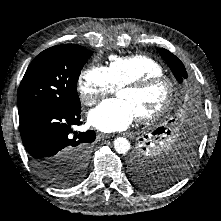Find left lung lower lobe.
<instances>
[{"mask_svg":"<svg viewBox=\"0 0 221 221\" xmlns=\"http://www.w3.org/2000/svg\"><path fill=\"white\" fill-rule=\"evenodd\" d=\"M201 130V122L199 119L191 117L189 120L188 125V133L187 136L184 138L180 146L178 147V150H176V156H178L182 163L185 165L189 163V161L192 159V157L195 154L196 147H197V141L199 140V134ZM156 134H170V131L167 130L164 127H160L155 131ZM184 172V168L181 167L180 170L176 172L175 180H172L169 182L168 185L174 183L177 181Z\"/></svg>","mask_w":221,"mask_h":221,"instance_id":"1","label":"left lung lower lobe"}]
</instances>
